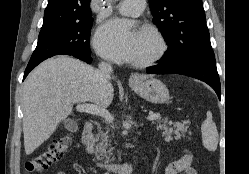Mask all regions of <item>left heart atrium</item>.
<instances>
[{
  "label": "left heart atrium",
  "mask_w": 249,
  "mask_h": 174,
  "mask_svg": "<svg viewBox=\"0 0 249 174\" xmlns=\"http://www.w3.org/2000/svg\"><path fill=\"white\" fill-rule=\"evenodd\" d=\"M138 32L125 20L113 19L98 29L94 43L104 57L117 61H132Z\"/></svg>",
  "instance_id": "39dd6f15"
}]
</instances>
